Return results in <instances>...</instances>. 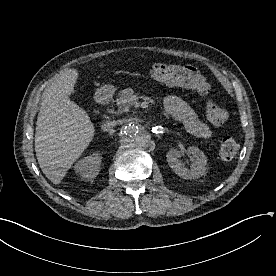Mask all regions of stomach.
I'll return each instance as SVG.
<instances>
[{
	"label": "stomach",
	"instance_id": "obj_1",
	"mask_svg": "<svg viewBox=\"0 0 276 276\" xmlns=\"http://www.w3.org/2000/svg\"><path fill=\"white\" fill-rule=\"evenodd\" d=\"M114 91H115V87L113 85H105V86L100 87L96 93L99 96H105V95L113 93Z\"/></svg>",
	"mask_w": 276,
	"mask_h": 276
}]
</instances>
